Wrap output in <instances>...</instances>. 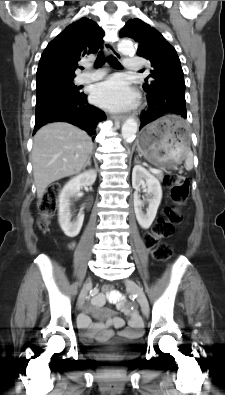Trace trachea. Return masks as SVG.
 <instances>
[{
	"label": "trachea",
	"mask_w": 225,
	"mask_h": 395,
	"mask_svg": "<svg viewBox=\"0 0 225 395\" xmlns=\"http://www.w3.org/2000/svg\"><path fill=\"white\" fill-rule=\"evenodd\" d=\"M106 60L109 62V64L115 68V69H121L122 66L119 63V61L114 57V56H109L105 58L102 52H100L97 56V59L95 61V67L100 68L102 65L105 64Z\"/></svg>",
	"instance_id": "obj_1"
}]
</instances>
